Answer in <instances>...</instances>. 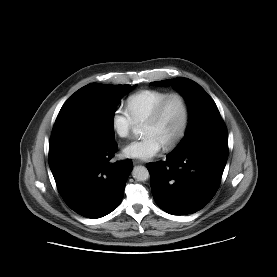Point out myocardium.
Listing matches in <instances>:
<instances>
[{
  "instance_id": "myocardium-1",
  "label": "myocardium",
  "mask_w": 277,
  "mask_h": 277,
  "mask_svg": "<svg viewBox=\"0 0 277 277\" xmlns=\"http://www.w3.org/2000/svg\"><path fill=\"white\" fill-rule=\"evenodd\" d=\"M172 98H178L182 105H183V110H184V117H183V122L181 125V128L177 135L166 145H164V148L166 150H171L174 147H176L180 141L184 138L186 135V132L188 130L189 122H190V106L187 98L179 92H172L169 93L167 96H165L160 103L157 105L153 113L149 116V118L144 122V124H155L157 123L164 111V108L167 104V102L172 99Z\"/></svg>"
}]
</instances>
